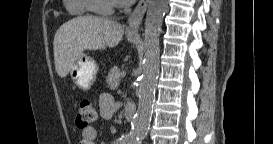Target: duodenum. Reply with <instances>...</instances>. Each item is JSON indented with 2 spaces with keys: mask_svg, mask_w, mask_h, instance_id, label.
<instances>
[{
  "mask_svg": "<svg viewBox=\"0 0 273 144\" xmlns=\"http://www.w3.org/2000/svg\"><path fill=\"white\" fill-rule=\"evenodd\" d=\"M135 112H136V109H135V106L133 104H129V103L125 104V106H124V116H125L126 120H128V121L133 120Z\"/></svg>",
  "mask_w": 273,
  "mask_h": 144,
  "instance_id": "410a0bca",
  "label": "duodenum"
}]
</instances>
